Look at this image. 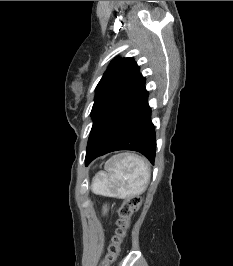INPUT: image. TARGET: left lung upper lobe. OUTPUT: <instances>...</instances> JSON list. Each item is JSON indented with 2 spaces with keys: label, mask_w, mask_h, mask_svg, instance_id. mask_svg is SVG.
<instances>
[{
  "label": "left lung upper lobe",
  "mask_w": 233,
  "mask_h": 266,
  "mask_svg": "<svg viewBox=\"0 0 233 266\" xmlns=\"http://www.w3.org/2000/svg\"><path fill=\"white\" fill-rule=\"evenodd\" d=\"M139 69L133 58H116L111 62L96 87L90 134L109 104L140 75Z\"/></svg>",
  "instance_id": "1"
}]
</instances>
